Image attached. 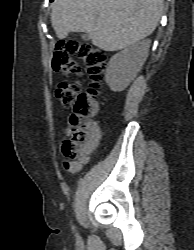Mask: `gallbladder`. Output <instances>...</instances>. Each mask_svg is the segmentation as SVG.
<instances>
[{
    "label": "gallbladder",
    "instance_id": "gallbladder-1",
    "mask_svg": "<svg viewBox=\"0 0 194 250\" xmlns=\"http://www.w3.org/2000/svg\"><path fill=\"white\" fill-rule=\"evenodd\" d=\"M81 38H82L83 40H89V39H90L89 35H87V34H82V35H81Z\"/></svg>",
    "mask_w": 194,
    "mask_h": 250
}]
</instances>
